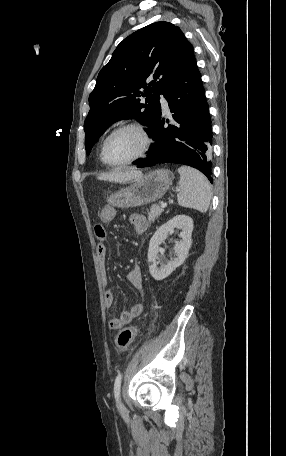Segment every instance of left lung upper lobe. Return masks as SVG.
Segmentation results:
<instances>
[{
	"label": "left lung upper lobe",
	"instance_id": "1",
	"mask_svg": "<svg viewBox=\"0 0 286 456\" xmlns=\"http://www.w3.org/2000/svg\"><path fill=\"white\" fill-rule=\"evenodd\" d=\"M194 59L183 32L168 22L150 24L125 38L99 72L89 96L90 111L84 122L87 155L118 120L135 118L149 127V135L161 115L160 94L166 95Z\"/></svg>",
	"mask_w": 286,
	"mask_h": 456
}]
</instances>
